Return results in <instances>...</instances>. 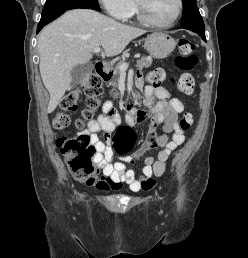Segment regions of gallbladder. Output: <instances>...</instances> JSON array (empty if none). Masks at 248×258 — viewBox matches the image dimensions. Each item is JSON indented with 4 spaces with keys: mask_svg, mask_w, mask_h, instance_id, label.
<instances>
[{
    "mask_svg": "<svg viewBox=\"0 0 248 258\" xmlns=\"http://www.w3.org/2000/svg\"><path fill=\"white\" fill-rule=\"evenodd\" d=\"M92 71H93V64L90 62L85 64H77L71 72V77H72L71 85H77L83 77L91 74Z\"/></svg>",
    "mask_w": 248,
    "mask_h": 258,
    "instance_id": "1",
    "label": "gallbladder"
}]
</instances>
